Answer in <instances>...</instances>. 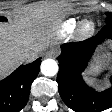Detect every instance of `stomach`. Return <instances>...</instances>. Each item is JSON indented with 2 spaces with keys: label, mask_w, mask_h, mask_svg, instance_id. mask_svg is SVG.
Instances as JSON below:
<instances>
[{
  "label": "stomach",
  "mask_w": 112,
  "mask_h": 112,
  "mask_svg": "<svg viewBox=\"0 0 112 112\" xmlns=\"http://www.w3.org/2000/svg\"><path fill=\"white\" fill-rule=\"evenodd\" d=\"M112 62L108 53H103L99 56L98 60L92 67L93 75H97L101 70L108 66Z\"/></svg>",
  "instance_id": "1"
}]
</instances>
